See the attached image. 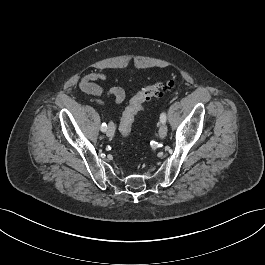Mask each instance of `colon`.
<instances>
[{"label":"colon","mask_w":265,"mask_h":265,"mask_svg":"<svg viewBox=\"0 0 265 265\" xmlns=\"http://www.w3.org/2000/svg\"><path fill=\"white\" fill-rule=\"evenodd\" d=\"M170 81H158L152 83L141 91H139L129 102V105L123 112L119 131L123 137H128L136 115L143 110L144 103L151 102L153 99L159 98L165 91L171 89Z\"/></svg>","instance_id":"5ec220e1"}]
</instances>
